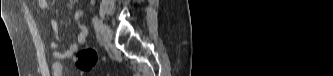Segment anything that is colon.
Wrapping results in <instances>:
<instances>
[{
	"label": "colon",
	"mask_w": 333,
	"mask_h": 76,
	"mask_svg": "<svg viewBox=\"0 0 333 76\" xmlns=\"http://www.w3.org/2000/svg\"><path fill=\"white\" fill-rule=\"evenodd\" d=\"M97 63V53L93 48L80 50L75 58V64L82 73H89Z\"/></svg>",
	"instance_id": "colon-1"
}]
</instances>
